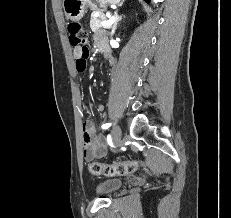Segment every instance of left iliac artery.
<instances>
[{"label":"left iliac artery","mask_w":231,"mask_h":218,"mask_svg":"<svg viewBox=\"0 0 231 218\" xmlns=\"http://www.w3.org/2000/svg\"><path fill=\"white\" fill-rule=\"evenodd\" d=\"M111 126V123H106L102 125V129H107Z\"/></svg>","instance_id":"left-iliac-artery-1"}]
</instances>
